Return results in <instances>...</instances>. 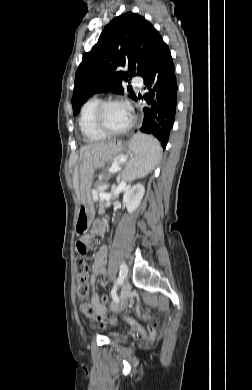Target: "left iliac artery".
Masks as SVG:
<instances>
[{
	"label": "left iliac artery",
	"mask_w": 252,
	"mask_h": 390,
	"mask_svg": "<svg viewBox=\"0 0 252 390\" xmlns=\"http://www.w3.org/2000/svg\"><path fill=\"white\" fill-rule=\"evenodd\" d=\"M127 273H128V268H127L125 263H122L120 265L119 276H118L116 283L111 291V296H112L113 300H118V302H119V298H118V295L116 293V290H117L118 285L121 284L123 282V280L126 278Z\"/></svg>",
	"instance_id": "1"
}]
</instances>
